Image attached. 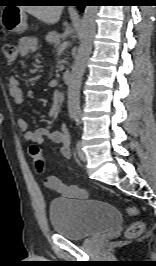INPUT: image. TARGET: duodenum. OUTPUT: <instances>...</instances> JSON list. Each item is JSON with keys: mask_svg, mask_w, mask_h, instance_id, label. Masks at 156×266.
I'll use <instances>...</instances> for the list:
<instances>
[{"mask_svg": "<svg viewBox=\"0 0 156 266\" xmlns=\"http://www.w3.org/2000/svg\"><path fill=\"white\" fill-rule=\"evenodd\" d=\"M63 82L68 85L71 82V73L69 71H65L62 75Z\"/></svg>", "mask_w": 156, "mask_h": 266, "instance_id": "1", "label": "duodenum"}]
</instances>
